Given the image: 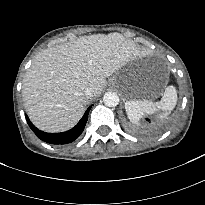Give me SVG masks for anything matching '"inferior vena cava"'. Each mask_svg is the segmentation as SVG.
<instances>
[{"mask_svg":"<svg viewBox=\"0 0 205 205\" xmlns=\"http://www.w3.org/2000/svg\"><path fill=\"white\" fill-rule=\"evenodd\" d=\"M85 94L88 95V96H91L93 94V90L91 87H87L85 89Z\"/></svg>","mask_w":205,"mask_h":205,"instance_id":"1","label":"inferior vena cava"}]
</instances>
